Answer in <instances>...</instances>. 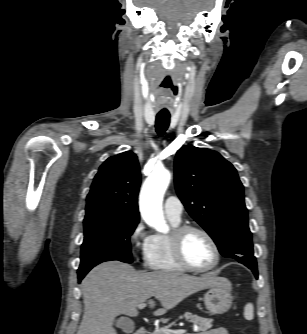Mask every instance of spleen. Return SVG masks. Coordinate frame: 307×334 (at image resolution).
Masks as SVG:
<instances>
[{"label": "spleen", "instance_id": "spleen-1", "mask_svg": "<svg viewBox=\"0 0 307 334\" xmlns=\"http://www.w3.org/2000/svg\"><path fill=\"white\" fill-rule=\"evenodd\" d=\"M244 317L247 320H252L254 318V307L252 303L246 304L244 308Z\"/></svg>", "mask_w": 307, "mask_h": 334}]
</instances>
